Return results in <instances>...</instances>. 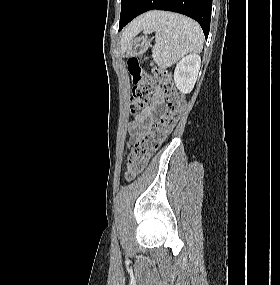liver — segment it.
<instances>
[{"label": "liver", "mask_w": 280, "mask_h": 285, "mask_svg": "<svg viewBox=\"0 0 280 285\" xmlns=\"http://www.w3.org/2000/svg\"><path fill=\"white\" fill-rule=\"evenodd\" d=\"M153 15H154V12L147 13V14L141 15L140 17L132 21L127 26V28L125 29L123 33L122 42L123 43L128 42L130 39H132L133 36L139 33Z\"/></svg>", "instance_id": "1"}]
</instances>
